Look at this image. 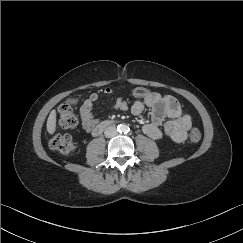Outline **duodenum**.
I'll list each match as a JSON object with an SVG mask.
<instances>
[{
  "label": "duodenum",
  "instance_id": "duodenum-1",
  "mask_svg": "<svg viewBox=\"0 0 243 243\" xmlns=\"http://www.w3.org/2000/svg\"><path fill=\"white\" fill-rule=\"evenodd\" d=\"M112 124V121H103L99 125H97L93 130V135H100L108 126Z\"/></svg>",
  "mask_w": 243,
  "mask_h": 243
}]
</instances>
